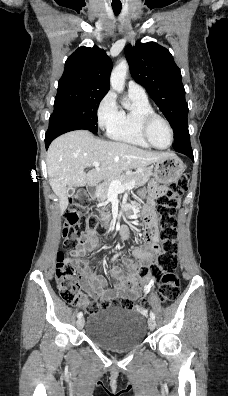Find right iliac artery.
<instances>
[{
	"mask_svg": "<svg viewBox=\"0 0 228 396\" xmlns=\"http://www.w3.org/2000/svg\"><path fill=\"white\" fill-rule=\"evenodd\" d=\"M118 256H119V254L114 255L113 258H112V261H114ZM82 316H83V313H82V312H79V313L77 314V317H78V318H81Z\"/></svg>",
	"mask_w": 228,
	"mask_h": 396,
	"instance_id": "82829eb1",
	"label": "right iliac artery"
}]
</instances>
